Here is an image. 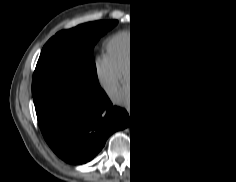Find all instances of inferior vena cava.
<instances>
[{
  "label": "inferior vena cava",
  "mask_w": 236,
  "mask_h": 182,
  "mask_svg": "<svg viewBox=\"0 0 236 182\" xmlns=\"http://www.w3.org/2000/svg\"><path fill=\"white\" fill-rule=\"evenodd\" d=\"M105 89L111 94L116 95L118 85L114 82H107L104 84Z\"/></svg>",
  "instance_id": "602c4592"
}]
</instances>
